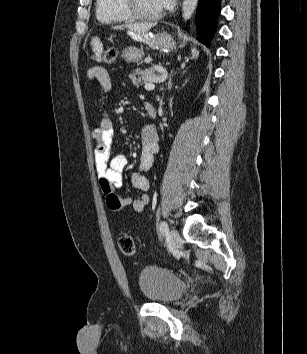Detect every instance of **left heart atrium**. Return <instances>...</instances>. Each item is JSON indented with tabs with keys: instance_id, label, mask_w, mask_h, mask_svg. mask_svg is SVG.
<instances>
[{
	"instance_id": "39dd6f15",
	"label": "left heart atrium",
	"mask_w": 307,
	"mask_h": 354,
	"mask_svg": "<svg viewBox=\"0 0 307 354\" xmlns=\"http://www.w3.org/2000/svg\"><path fill=\"white\" fill-rule=\"evenodd\" d=\"M157 2L160 9L163 10L170 8L174 4L175 0H157Z\"/></svg>"
}]
</instances>
